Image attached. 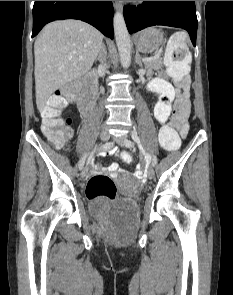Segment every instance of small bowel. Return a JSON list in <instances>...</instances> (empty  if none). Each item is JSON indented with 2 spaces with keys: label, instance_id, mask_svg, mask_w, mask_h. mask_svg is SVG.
Wrapping results in <instances>:
<instances>
[{
  "label": "small bowel",
  "instance_id": "1",
  "mask_svg": "<svg viewBox=\"0 0 233 295\" xmlns=\"http://www.w3.org/2000/svg\"><path fill=\"white\" fill-rule=\"evenodd\" d=\"M148 89L157 93L160 98L154 106L155 119L164 124L170 118L169 124L177 129L182 137L187 133V119L190 113V100L188 89L177 91L173 85L166 80L165 75L161 74L159 77L154 78L148 84ZM109 154H115V148H110L107 151ZM103 171L110 173L125 172L117 163H111L109 166L102 168ZM135 176L142 177V172L137 171Z\"/></svg>",
  "mask_w": 233,
  "mask_h": 295
}]
</instances>
